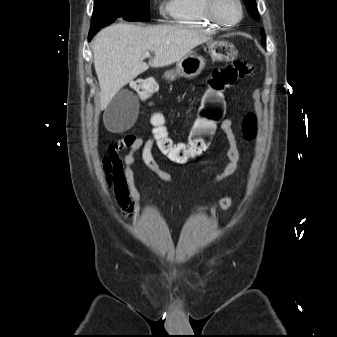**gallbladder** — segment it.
<instances>
[{"instance_id":"gallbladder-1","label":"gallbladder","mask_w":337,"mask_h":337,"mask_svg":"<svg viewBox=\"0 0 337 337\" xmlns=\"http://www.w3.org/2000/svg\"><path fill=\"white\" fill-rule=\"evenodd\" d=\"M139 102L133 92H118L105 109L103 120L108 130L119 132L130 128L138 115Z\"/></svg>"}]
</instances>
